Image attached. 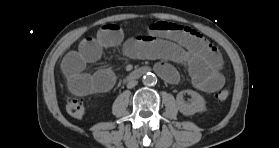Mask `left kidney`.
<instances>
[{"label": "left kidney", "mask_w": 279, "mask_h": 148, "mask_svg": "<svg viewBox=\"0 0 279 148\" xmlns=\"http://www.w3.org/2000/svg\"><path fill=\"white\" fill-rule=\"evenodd\" d=\"M185 93L191 95V103H186L184 101L183 96ZM176 101L179 111L186 116L194 115L197 112H202L206 108L204 98L199 93L193 90L179 92L176 96Z\"/></svg>", "instance_id": "obj_1"}]
</instances>
